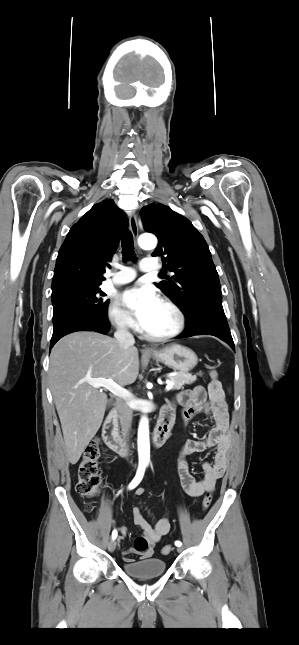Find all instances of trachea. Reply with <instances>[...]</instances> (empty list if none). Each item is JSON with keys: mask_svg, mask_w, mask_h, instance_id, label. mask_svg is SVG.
Masks as SVG:
<instances>
[{"mask_svg": "<svg viewBox=\"0 0 299 645\" xmlns=\"http://www.w3.org/2000/svg\"><path fill=\"white\" fill-rule=\"evenodd\" d=\"M122 254L124 261H135L136 256L134 252V241L133 236L130 232L126 231L122 234Z\"/></svg>", "mask_w": 299, "mask_h": 645, "instance_id": "obj_1", "label": "trachea"}]
</instances>
